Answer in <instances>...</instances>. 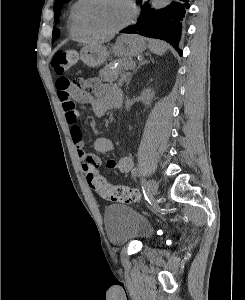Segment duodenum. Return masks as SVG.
I'll use <instances>...</instances> for the list:
<instances>
[{
  "mask_svg": "<svg viewBox=\"0 0 245 300\" xmlns=\"http://www.w3.org/2000/svg\"><path fill=\"white\" fill-rule=\"evenodd\" d=\"M122 104V95L117 96V107H120Z\"/></svg>",
  "mask_w": 245,
  "mask_h": 300,
  "instance_id": "1",
  "label": "duodenum"
}]
</instances>
